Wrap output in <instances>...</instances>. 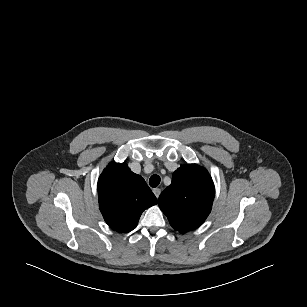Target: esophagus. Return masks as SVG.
<instances>
[{"label":"esophagus","instance_id":"34e87169","mask_svg":"<svg viewBox=\"0 0 307 307\" xmlns=\"http://www.w3.org/2000/svg\"><path fill=\"white\" fill-rule=\"evenodd\" d=\"M153 193L158 198L160 196V194H161V189L160 188H154L153 189Z\"/></svg>","mask_w":307,"mask_h":307}]
</instances>
